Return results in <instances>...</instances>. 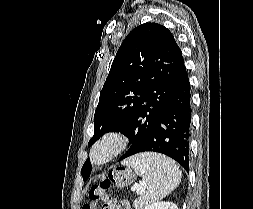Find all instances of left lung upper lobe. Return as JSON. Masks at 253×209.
Returning a JSON list of instances; mask_svg holds the SVG:
<instances>
[{"instance_id": "5c2ea615", "label": "left lung upper lobe", "mask_w": 253, "mask_h": 209, "mask_svg": "<svg viewBox=\"0 0 253 209\" xmlns=\"http://www.w3.org/2000/svg\"><path fill=\"white\" fill-rule=\"evenodd\" d=\"M184 67L172 33L156 23L134 28L124 39L100 92L94 114L93 145L107 132H121L131 147L119 159L136 153L162 116ZM88 159L81 170L91 173Z\"/></svg>"}]
</instances>
